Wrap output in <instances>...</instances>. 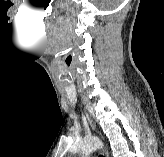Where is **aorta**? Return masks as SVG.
<instances>
[{
	"instance_id": "762f6f07",
	"label": "aorta",
	"mask_w": 164,
	"mask_h": 157,
	"mask_svg": "<svg viewBox=\"0 0 164 157\" xmlns=\"http://www.w3.org/2000/svg\"><path fill=\"white\" fill-rule=\"evenodd\" d=\"M102 147L101 141L97 139H91L83 141L79 146V151L83 157H88L96 149Z\"/></svg>"
}]
</instances>
